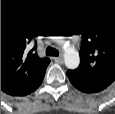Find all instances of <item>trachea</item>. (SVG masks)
I'll return each instance as SVG.
<instances>
[{"mask_svg": "<svg viewBox=\"0 0 115 114\" xmlns=\"http://www.w3.org/2000/svg\"><path fill=\"white\" fill-rule=\"evenodd\" d=\"M46 55L47 56H58L59 51L57 49H55V48L47 47L46 48Z\"/></svg>", "mask_w": 115, "mask_h": 114, "instance_id": "trachea-1", "label": "trachea"}]
</instances>
